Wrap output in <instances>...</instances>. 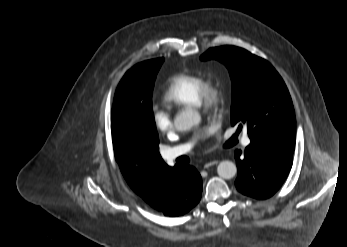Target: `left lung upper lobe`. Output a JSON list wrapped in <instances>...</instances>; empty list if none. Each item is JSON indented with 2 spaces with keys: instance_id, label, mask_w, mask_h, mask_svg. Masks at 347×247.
<instances>
[{
  "instance_id": "left-lung-upper-lobe-1",
  "label": "left lung upper lobe",
  "mask_w": 347,
  "mask_h": 247,
  "mask_svg": "<svg viewBox=\"0 0 347 247\" xmlns=\"http://www.w3.org/2000/svg\"><path fill=\"white\" fill-rule=\"evenodd\" d=\"M202 60L217 59L232 80L231 124L247 126L251 141L295 143L296 120L288 89L266 60L235 46L210 48Z\"/></svg>"
}]
</instances>
